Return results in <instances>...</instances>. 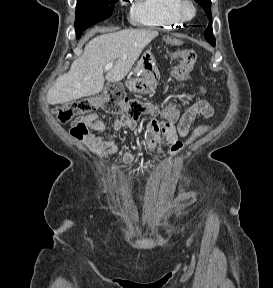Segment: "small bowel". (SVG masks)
Listing matches in <instances>:
<instances>
[{"label":"small bowel","instance_id":"c3829d8e","mask_svg":"<svg viewBox=\"0 0 273 288\" xmlns=\"http://www.w3.org/2000/svg\"><path fill=\"white\" fill-rule=\"evenodd\" d=\"M200 92L206 94L207 90L206 88L201 87ZM142 113L143 110H140L135 115H121L114 120L113 129L115 131L121 129H135L137 121ZM214 113V108L207 100L198 99L184 111L177 125L171 121L151 119L147 124L145 144L149 150H156L161 147L163 141H166L170 146L171 153L178 154L185 146L192 144L198 138L208 133L212 128L211 125H201L195 129L192 134H189L190 127L195 118L201 115L206 119H210L214 116ZM82 120L89 123V130L85 136L80 138V140H82L90 150L103 158L119 151V144L111 139H105L97 135V133H101L105 130V125L101 120L97 119L95 115L86 116L82 118ZM180 138H186V141L182 142ZM132 160V154L126 152L120 159V163L128 164L132 162Z\"/></svg>","mask_w":273,"mask_h":288}]
</instances>
